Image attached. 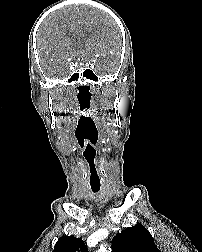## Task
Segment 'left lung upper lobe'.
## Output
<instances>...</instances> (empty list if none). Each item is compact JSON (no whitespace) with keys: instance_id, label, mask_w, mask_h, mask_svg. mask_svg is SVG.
Returning a JSON list of instances; mask_svg holds the SVG:
<instances>
[{"instance_id":"obj_1","label":"left lung upper lobe","mask_w":202,"mask_h":252,"mask_svg":"<svg viewBox=\"0 0 202 252\" xmlns=\"http://www.w3.org/2000/svg\"><path fill=\"white\" fill-rule=\"evenodd\" d=\"M113 252H161L142 225L128 227L113 239Z\"/></svg>"}]
</instances>
